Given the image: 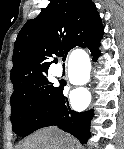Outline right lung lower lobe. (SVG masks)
<instances>
[{
  "mask_svg": "<svg viewBox=\"0 0 124 149\" xmlns=\"http://www.w3.org/2000/svg\"><path fill=\"white\" fill-rule=\"evenodd\" d=\"M99 46L100 42L89 49L95 62L100 55ZM92 116V110L81 113L73 111L69 106L68 99L63 94V85H61L46 106L30 118L23 130L22 137L40 128L58 125L60 129L72 134L83 144L90 137L89 129Z\"/></svg>",
  "mask_w": 124,
  "mask_h": 149,
  "instance_id": "obj_1",
  "label": "right lung lower lobe"
}]
</instances>
